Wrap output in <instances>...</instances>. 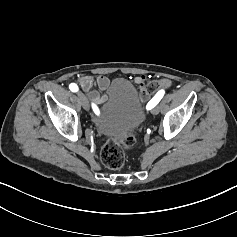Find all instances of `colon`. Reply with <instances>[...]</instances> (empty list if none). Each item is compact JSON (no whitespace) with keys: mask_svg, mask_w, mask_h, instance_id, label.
Listing matches in <instances>:
<instances>
[{"mask_svg":"<svg viewBox=\"0 0 237 237\" xmlns=\"http://www.w3.org/2000/svg\"><path fill=\"white\" fill-rule=\"evenodd\" d=\"M160 87L159 82L151 81L146 85V94L151 95L155 93ZM135 143V136L133 132L125 135L120 142L115 140H107L103 145L100 158L103 164L113 170L120 169L125 161L124 147H131Z\"/></svg>","mask_w":237,"mask_h":237,"instance_id":"obj_1","label":"colon"}]
</instances>
